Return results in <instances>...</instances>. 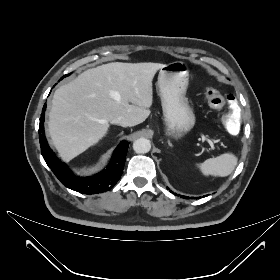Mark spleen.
I'll use <instances>...</instances> for the list:
<instances>
[{"mask_svg": "<svg viewBox=\"0 0 280 280\" xmlns=\"http://www.w3.org/2000/svg\"><path fill=\"white\" fill-rule=\"evenodd\" d=\"M237 160L234 154L224 153L218 157L207 159L198 166L206 176L226 177L233 172Z\"/></svg>", "mask_w": 280, "mask_h": 280, "instance_id": "spleen-1", "label": "spleen"}]
</instances>
